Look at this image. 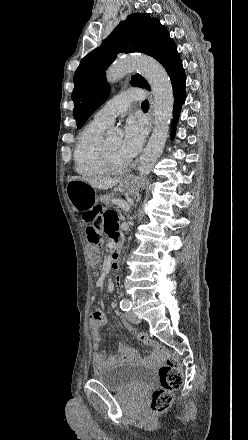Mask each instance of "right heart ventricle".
Masks as SVG:
<instances>
[{
	"instance_id": "1",
	"label": "right heart ventricle",
	"mask_w": 248,
	"mask_h": 440,
	"mask_svg": "<svg viewBox=\"0 0 248 440\" xmlns=\"http://www.w3.org/2000/svg\"><path fill=\"white\" fill-rule=\"evenodd\" d=\"M106 127L93 120L80 133L74 151L75 169L79 174L99 177L107 173L101 161V145Z\"/></svg>"
}]
</instances>
